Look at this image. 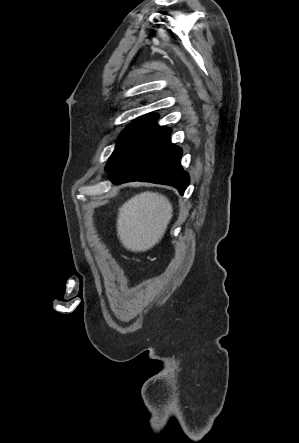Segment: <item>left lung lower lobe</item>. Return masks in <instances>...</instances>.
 Returning a JSON list of instances; mask_svg holds the SVG:
<instances>
[{
    "instance_id": "left-lung-lower-lobe-1",
    "label": "left lung lower lobe",
    "mask_w": 299,
    "mask_h": 443,
    "mask_svg": "<svg viewBox=\"0 0 299 443\" xmlns=\"http://www.w3.org/2000/svg\"><path fill=\"white\" fill-rule=\"evenodd\" d=\"M171 130L154 124L111 168L109 179L116 185L130 181L166 184L183 195L189 176L181 168V148L170 142Z\"/></svg>"
}]
</instances>
